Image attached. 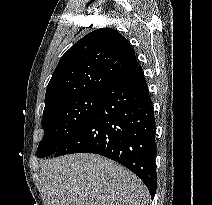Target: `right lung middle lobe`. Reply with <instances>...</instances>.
<instances>
[{
  "label": "right lung middle lobe",
  "mask_w": 212,
  "mask_h": 205,
  "mask_svg": "<svg viewBox=\"0 0 212 205\" xmlns=\"http://www.w3.org/2000/svg\"><path fill=\"white\" fill-rule=\"evenodd\" d=\"M101 100V92L88 93L64 101L43 113L44 136L37 156L55 154L86 121Z\"/></svg>",
  "instance_id": "1"
}]
</instances>
